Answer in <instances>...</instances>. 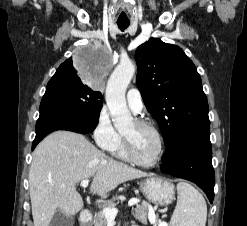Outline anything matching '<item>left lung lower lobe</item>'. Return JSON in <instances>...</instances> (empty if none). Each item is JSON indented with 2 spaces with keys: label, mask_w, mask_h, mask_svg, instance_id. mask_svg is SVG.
Here are the masks:
<instances>
[{
  "label": "left lung lower lobe",
  "mask_w": 247,
  "mask_h": 226,
  "mask_svg": "<svg viewBox=\"0 0 247 226\" xmlns=\"http://www.w3.org/2000/svg\"><path fill=\"white\" fill-rule=\"evenodd\" d=\"M161 170L196 183L206 193L210 203L214 198L215 175L212 166L210 126L188 131L163 155Z\"/></svg>",
  "instance_id": "0a47b994"
}]
</instances>
